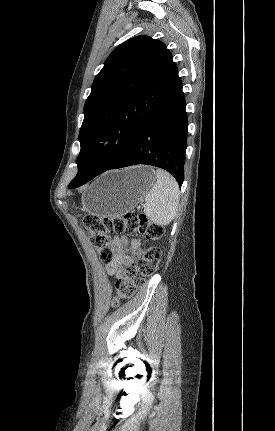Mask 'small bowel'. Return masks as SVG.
Wrapping results in <instances>:
<instances>
[{
	"instance_id": "1",
	"label": "small bowel",
	"mask_w": 275,
	"mask_h": 431,
	"mask_svg": "<svg viewBox=\"0 0 275 431\" xmlns=\"http://www.w3.org/2000/svg\"><path fill=\"white\" fill-rule=\"evenodd\" d=\"M124 238L116 236L112 241L113 258L106 266V273L109 276L120 277L124 271L125 266L130 263L129 258L123 253ZM135 246L138 243H134Z\"/></svg>"
}]
</instances>
